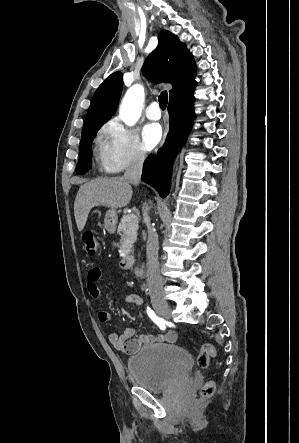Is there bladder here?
Instances as JSON below:
<instances>
[{
	"mask_svg": "<svg viewBox=\"0 0 299 443\" xmlns=\"http://www.w3.org/2000/svg\"><path fill=\"white\" fill-rule=\"evenodd\" d=\"M192 367L188 350L173 343L143 347L127 363L133 382L150 391L166 389L188 378Z\"/></svg>",
	"mask_w": 299,
	"mask_h": 443,
	"instance_id": "1",
	"label": "bladder"
}]
</instances>
